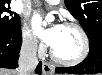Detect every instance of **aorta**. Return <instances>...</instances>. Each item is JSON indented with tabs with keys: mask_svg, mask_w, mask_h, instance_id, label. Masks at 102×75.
<instances>
[{
	"mask_svg": "<svg viewBox=\"0 0 102 75\" xmlns=\"http://www.w3.org/2000/svg\"><path fill=\"white\" fill-rule=\"evenodd\" d=\"M54 20V17L52 15H47L46 16V21L43 22V25L45 26L46 25V22H51Z\"/></svg>",
	"mask_w": 102,
	"mask_h": 75,
	"instance_id": "aorta-1",
	"label": "aorta"
}]
</instances>
